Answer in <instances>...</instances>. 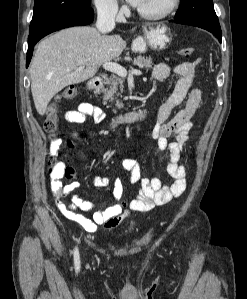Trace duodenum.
<instances>
[{
  "mask_svg": "<svg viewBox=\"0 0 247 299\" xmlns=\"http://www.w3.org/2000/svg\"><path fill=\"white\" fill-rule=\"evenodd\" d=\"M103 80L101 77H93L87 83V88L90 91H96L102 87ZM149 111L147 109H141L131 111L125 114L116 116L112 121V126L116 127L122 124H129L138 121H145L148 118Z\"/></svg>",
  "mask_w": 247,
  "mask_h": 299,
  "instance_id": "obj_1",
  "label": "duodenum"
}]
</instances>
